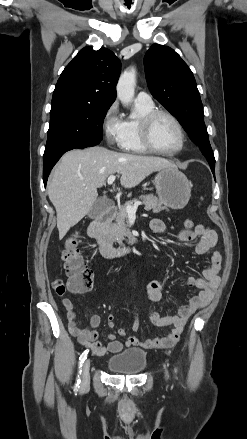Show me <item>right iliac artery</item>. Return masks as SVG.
Wrapping results in <instances>:
<instances>
[{"instance_id":"right-iliac-artery-1","label":"right iliac artery","mask_w":247,"mask_h":439,"mask_svg":"<svg viewBox=\"0 0 247 439\" xmlns=\"http://www.w3.org/2000/svg\"><path fill=\"white\" fill-rule=\"evenodd\" d=\"M88 352H89V350L87 349V350H85L82 354H81V356L79 357V372H78V375H77V378H76V382H75V386H74V390H76V391H78V389H79V385H80V374H81V367H82V364H83V362L85 361V359L87 358V354H88Z\"/></svg>"}]
</instances>
